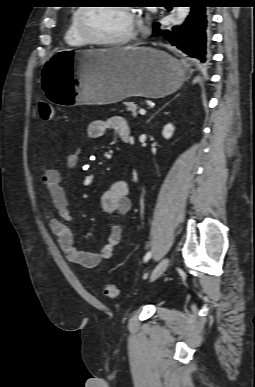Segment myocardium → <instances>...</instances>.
<instances>
[{
  "mask_svg": "<svg viewBox=\"0 0 255 387\" xmlns=\"http://www.w3.org/2000/svg\"><path fill=\"white\" fill-rule=\"evenodd\" d=\"M125 10L135 21L136 14L129 6H117ZM92 6H83L79 8L76 16V27L81 37L86 40L89 44L100 45V46H121L129 43L136 35L135 28L130 31L126 36L119 39H101L94 36L88 29L85 23V16L89 10L93 9Z\"/></svg>",
  "mask_w": 255,
  "mask_h": 387,
  "instance_id": "myocardium-1",
  "label": "myocardium"
}]
</instances>
